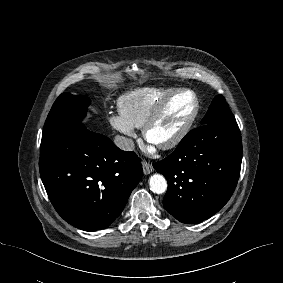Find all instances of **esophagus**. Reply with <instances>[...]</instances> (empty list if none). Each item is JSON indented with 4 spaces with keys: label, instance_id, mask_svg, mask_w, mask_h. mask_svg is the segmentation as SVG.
<instances>
[{
    "label": "esophagus",
    "instance_id": "34e87169",
    "mask_svg": "<svg viewBox=\"0 0 283 283\" xmlns=\"http://www.w3.org/2000/svg\"><path fill=\"white\" fill-rule=\"evenodd\" d=\"M142 167L144 174L148 175L153 172V165L147 161H142Z\"/></svg>",
    "mask_w": 283,
    "mask_h": 283
}]
</instances>
